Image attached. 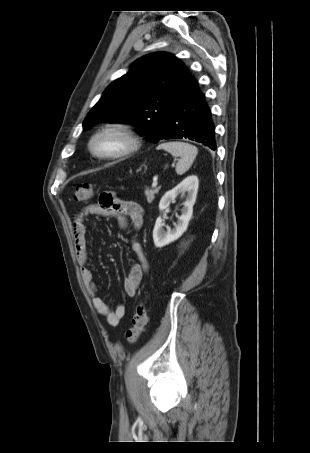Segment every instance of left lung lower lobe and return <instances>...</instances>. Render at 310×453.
Segmentation results:
<instances>
[{"mask_svg": "<svg viewBox=\"0 0 310 453\" xmlns=\"http://www.w3.org/2000/svg\"><path fill=\"white\" fill-rule=\"evenodd\" d=\"M215 125L205 96L190 74L181 96L160 136L162 139H190L216 149Z\"/></svg>", "mask_w": 310, "mask_h": 453, "instance_id": "0a47b994", "label": "left lung lower lobe"}]
</instances>
